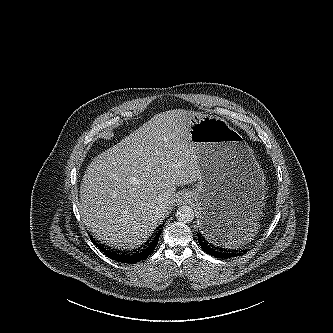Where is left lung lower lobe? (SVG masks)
<instances>
[{
  "mask_svg": "<svg viewBox=\"0 0 333 333\" xmlns=\"http://www.w3.org/2000/svg\"><path fill=\"white\" fill-rule=\"evenodd\" d=\"M229 231L224 222L216 218L205 224L202 232L197 233L199 244L206 253L217 258L239 256L238 251L220 246L221 240H225L224 236Z\"/></svg>",
  "mask_w": 333,
  "mask_h": 333,
  "instance_id": "1",
  "label": "left lung lower lobe"
}]
</instances>
